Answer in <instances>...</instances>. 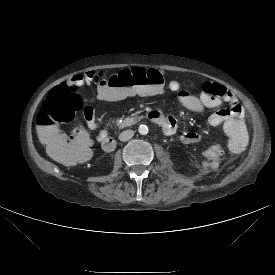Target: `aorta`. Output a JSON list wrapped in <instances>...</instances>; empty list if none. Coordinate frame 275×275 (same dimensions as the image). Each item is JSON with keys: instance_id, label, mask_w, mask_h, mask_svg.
<instances>
[{"instance_id": "762f6f07", "label": "aorta", "mask_w": 275, "mask_h": 275, "mask_svg": "<svg viewBox=\"0 0 275 275\" xmlns=\"http://www.w3.org/2000/svg\"><path fill=\"white\" fill-rule=\"evenodd\" d=\"M138 132L141 134V135H146L148 133V127L146 125H140L139 128H138Z\"/></svg>"}]
</instances>
